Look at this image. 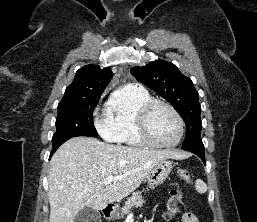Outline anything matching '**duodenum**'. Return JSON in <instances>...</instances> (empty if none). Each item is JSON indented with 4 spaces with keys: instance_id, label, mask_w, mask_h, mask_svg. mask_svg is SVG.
<instances>
[{
    "instance_id": "obj_1",
    "label": "duodenum",
    "mask_w": 257,
    "mask_h": 222,
    "mask_svg": "<svg viewBox=\"0 0 257 222\" xmlns=\"http://www.w3.org/2000/svg\"><path fill=\"white\" fill-rule=\"evenodd\" d=\"M114 208L112 205H107L103 208V214L105 217L110 218L113 215Z\"/></svg>"
}]
</instances>
